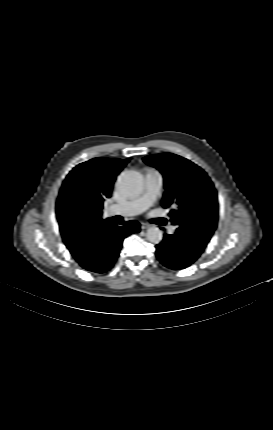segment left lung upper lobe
Wrapping results in <instances>:
<instances>
[{"instance_id": "obj_1", "label": "left lung upper lobe", "mask_w": 273, "mask_h": 430, "mask_svg": "<svg viewBox=\"0 0 273 430\" xmlns=\"http://www.w3.org/2000/svg\"><path fill=\"white\" fill-rule=\"evenodd\" d=\"M143 160L164 177L162 205L170 209L172 223L204 249L218 220L217 192L210 178L193 162L172 153L150 155Z\"/></svg>"}]
</instances>
